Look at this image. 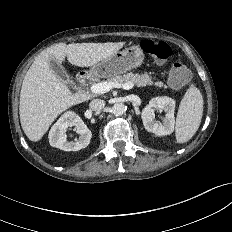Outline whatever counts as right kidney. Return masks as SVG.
<instances>
[{"instance_id":"1","label":"right kidney","mask_w":232,"mask_h":232,"mask_svg":"<svg viewBox=\"0 0 232 232\" xmlns=\"http://www.w3.org/2000/svg\"><path fill=\"white\" fill-rule=\"evenodd\" d=\"M75 126L80 135L75 141H67L64 135L68 127ZM92 138V133L83 120L73 111L64 113L51 127L49 132V143L51 146L64 151H78L86 148Z\"/></svg>"}]
</instances>
